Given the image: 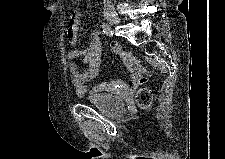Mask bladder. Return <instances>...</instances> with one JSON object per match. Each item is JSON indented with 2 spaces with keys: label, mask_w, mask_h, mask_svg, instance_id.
Returning a JSON list of instances; mask_svg holds the SVG:
<instances>
[{
  "label": "bladder",
  "mask_w": 225,
  "mask_h": 159,
  "mask_svg": "<svg viewBox=\"0 0 225 159\" xmlns=\"http://www.w3.org/2000/svg\"><path fill=\"white\" fill-rule=\"evenodd\" d=\"M81 100L84 103H87L111 116H120L126 109L123 98L99 91L97 89L84 92L81 95Z\"/></svg>",
  "instance_id": "31cf9c89"
}]
</instances>
